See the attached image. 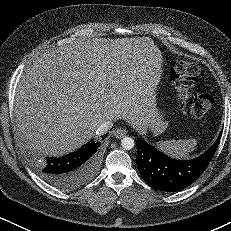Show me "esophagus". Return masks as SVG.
Returning a JSON list of instances; mask_svg holds the SVG:
<instances>
[{
  "instance_id": "1",
  "label": "esophagus",
  "mask_w": 231,
  "mask_h": 231,
  "mask_svg": "<svg viewBox=\"0 0 231 231\" xmlns=\"http://www.w3.org/2000/svg\"><path fill=\"white\" fill-rule=\"evenodd\" d=\"M113 134L116 138L120 139L123 138L127 134V132L123 128H118L113 132Z\"/></svg>"
}]
</instances>
